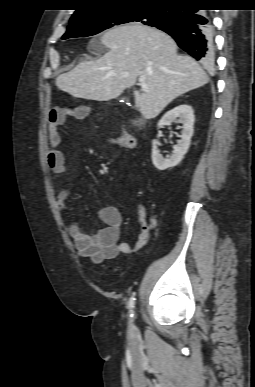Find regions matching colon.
Returning a JSON list of instances; mask_svg holds the SVG:
<instances>
[{
    "label": "colon",
    "mask_w": 255,
    "mask_h": 387,
    "mask_svg": "<svg viewBox=\"0 0 255 387\" xmlns=\"http://www.w3.org/2000/svg\"><path fill=\"white\" fill-rule=\"evenodd\" d=\"M110 142L114 145L124 147L130 150H134L137 148V140L134 136L124 133L119 135L118 137L112 138ZM142 230L146 233H149L155 226L154 222L152 221H145L142 220L141 222Z\"/></svg>",
    "instance_id": "colon-1"
}]
</instances>
